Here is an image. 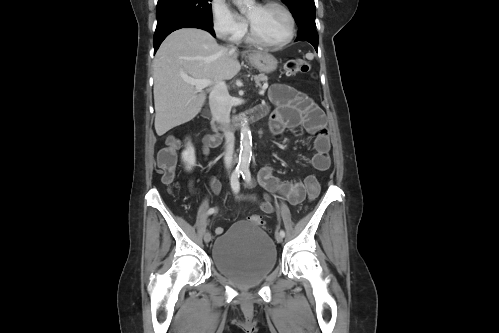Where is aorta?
I'll use <instances>...</instances> for the list:
<instances>
[{
  "mask_svg": "<svg viewBox=\"0 0 499 333\" xmlns=\"http://www.w3.org/2000/svg\"><path fill=\"white\" fill-rule=\"evenodd\" d=\"M252 2V0H244V6L240 9L242 12L246 11L247 6ZM240 153H239V162L237 167L240 170L248 169L252 156V136L250 128L246 122V120L242 119L241 129H240Z\"/></svg>",
  "mask_w": 499,
  "mask_h": 333,
  "instance_id": "obj_1",
  "label": "aorta"
}]
</instances>
